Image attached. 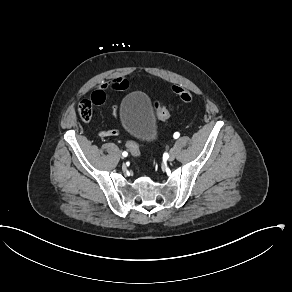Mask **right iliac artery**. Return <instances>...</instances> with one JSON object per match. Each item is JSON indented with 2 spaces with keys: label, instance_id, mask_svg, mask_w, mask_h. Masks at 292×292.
<instances>
[{
  "label": "right iliac artery",
  "instance_id": "right-iliac-artery-1",
  "mask_svg": "<svg viewBox=\"0 0 292 292\" xmlns=\"http://www.w3.org/2000/svg\"><path fill=\"white\" fill-rule=\"evenodd\" d=\"M122 155H123L124 157H126V156L128 155V153H127L126 151H124V152L122 153Z\"/></svg>",
  "mask_w": 292,
  "mask_h": 292
}]
</instances>
